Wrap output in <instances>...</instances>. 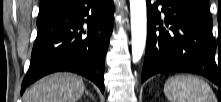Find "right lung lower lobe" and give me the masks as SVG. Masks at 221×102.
Listing matches in <instances>:
<instances>
[{
    "mask_svg": "<svg viewBox=\"0 0 221 102\" xmlns=\"http://www.w3.org/2000/svg\"><path fill=\"white\" fill-rule=\"evenodd\" d=\"M113 14V0H70L37 22L38 34L21 94L31 83L57 71L83 75L104 93L105 55Z\"/></svg>",
    "mask_w": 221,
    "mask_h": 102,
    "instance_id": "obj_1",
    "label": "right lung lower lobe"
}]
</instances>
